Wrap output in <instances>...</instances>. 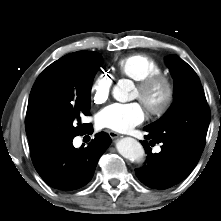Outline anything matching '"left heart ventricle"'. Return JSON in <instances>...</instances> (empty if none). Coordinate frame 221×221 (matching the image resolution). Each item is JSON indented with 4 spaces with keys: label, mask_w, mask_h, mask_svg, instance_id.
<instances>
[{
    "label": "left heart ventricle",
    "mask_w": 221,
    "mask_h": 221,
    "mask_svg": "<svg viewBox=\"0 0 221 221\" xmlns=\"http://www.w3.org/2000/svg\"><path fill=\"white\" fill-rule=\"evenodd\" d=\"M164 97V89L162 86H157L155 87L146 97V101L150 104V105H159L162 101ZM135 98L136 99H140L142 98V93L139 90V88H136L135 91Z\"/></svg>",
    "instance_id": "left-heart-ventricle-1"
}]
</instances>
